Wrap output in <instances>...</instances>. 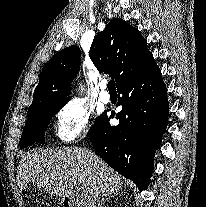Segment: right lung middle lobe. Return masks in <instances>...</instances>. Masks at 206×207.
I'll return each mask as SVG.
<instances>
[{
    "label": "right lung middle lobe",
    "instance_id": "dd1d6c3e",
    "mask_svg": "<svg viewBox=\"0 0 206 207\" xmlns=\"http://www.w3.org/2000/svg\"><path fill=\"white\" fill-rule=\"evenodd\" d=\"M66 103L67 102L46 104L28 112V119L20 139V147L25 148L31 143L41 142L50 119ZM102 115L95 120V123L89 130L88 135L93 131L96 123L99 121Z\"/></svg>",
    "mask_w": 206,
    "mask_h": 207
}]
</instances>
